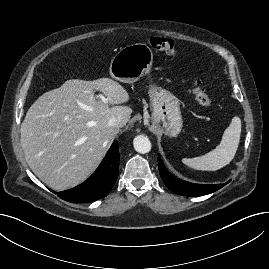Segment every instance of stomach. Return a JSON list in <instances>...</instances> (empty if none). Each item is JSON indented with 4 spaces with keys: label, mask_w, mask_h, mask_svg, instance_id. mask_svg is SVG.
<instances>
[{
    "label": "stomach",
    "mask_w": 269,
    "mask_h": 269,
    "mask_svg": "<svg viewBox=\"0 0 269 269\" xmlns=\"http://www.w3.org/2000/svg\"><path fill=\"white\" fill-rule=\"evenodd\" d=\"M153 64L152 49L145 43L121 48L110 63V75L123 83H134L150 73ZM152 124L169 137H176L182 129L178 99L168 90L155 85L149 87Z\"/></svg>",
    "instance_id": "0dacf381"
}]
</instances>
